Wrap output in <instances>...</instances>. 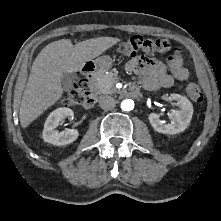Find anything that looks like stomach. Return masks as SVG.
Instances as JSON below:
<instances>
[{
	"mask_svg": "<svg viewBox=\"0 0 221 221\" xmlns=\"http://www.w3.org/2000/svg\"><path fill=\"white\" fill-rule=\"evenodd\" d=\"M112 65V60L109 56H102L95 60V66L100 71L108 70Z\"/></svg>",
	"mask_w": 221,
	"mask_h": 221,
	"instance_id": "stomach-1",
	"label": "stomach"
}]
</instances>
